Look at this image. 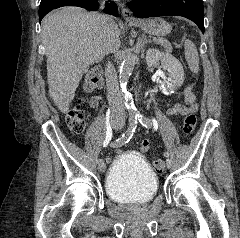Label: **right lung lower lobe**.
Segmentation results:
<instances>
[{"label":"right lung lower lobe","mask_w":240,"mask_h":238,"mask_svg":"<svg viewBox=\"0 0 240 238\" xmlns=\"http://www.w3.org/2000/svg\"><path fill=\"white\" fill-rule=\"evenodd\" d=\"M67 5L79 6L91 11H96L99 8L97 0H55L50 5H48L46 9L39 12V21L41 22L43 17L51 10ZM117 11L118 9L114 2L107 3L104 9L105 13L111 14L113 16L118 15Z\"/></svg>","instance_id":"right-lung-lower-lobe-1"}]
</instances>
